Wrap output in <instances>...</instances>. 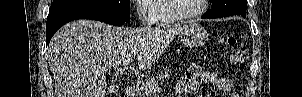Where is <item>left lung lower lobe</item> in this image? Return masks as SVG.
Here are the masks:
<instances>
[{
	"mask_svg": "<svg viewBox=\"0 0 302 97\" xmlns=\"http://www.w3.org/2000/svg\"><path fill=\"white\" fill-rule=\"evenodd\" d=\"M202 18H219V17L213 15L211 12H207L202 16Z\"/></svg>",
	"mask_w": 302,
	"mask_h": 97,
	"instance_id": "1",
	"label": "left lung lower lobe"
}]
</instances>
